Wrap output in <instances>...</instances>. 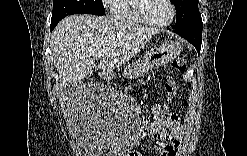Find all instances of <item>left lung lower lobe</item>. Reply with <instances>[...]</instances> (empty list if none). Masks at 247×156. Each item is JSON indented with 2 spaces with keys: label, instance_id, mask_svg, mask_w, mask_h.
<instances>
[{
  "label": "left lung lower lobe",
  "instance_id": "obj_1",
  "mask_svg": "<svg viewBox=\"0 0 247 156\" xmlns=\"http://www.w3.org/2000/svg\"><path fill=\"white\" fill-rule=\"evenodd\" d=\"M202 29H203L202 19H199L197 21L191 22L190 24L184 27H179V28L174 27L173 31L178 35H180L181 37H183L184 39H186L191 44H193L199 54L202 43Z\"/></svg>",
  "mask_w": 247,
  "mask_h": 156
}]
</instances>
